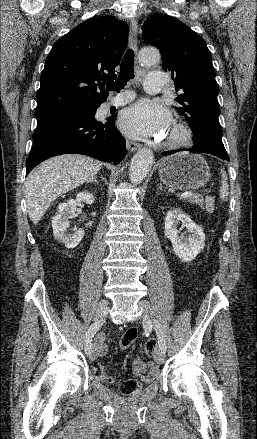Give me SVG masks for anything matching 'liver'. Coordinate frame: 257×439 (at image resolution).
I'll return each instance as SVG.
<instances>
[{
  "mask_svg": "<svg viewBox=\"0 0 257 439\" xmlns=\"http://www.w3.org/2000/svg\"><path fill=\"white\" fill-rule=\"evenodd\" d=\"M102 163L77 154L53 157L32 171L25 185L30 220L38 224L59 196L93 180Z\"/></svg>",
  "mask_w": 257,
  "mask_h": 439,
  "instance_id": "liver-1",
  "label": "liver"
}]
</instances>
